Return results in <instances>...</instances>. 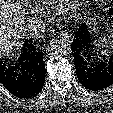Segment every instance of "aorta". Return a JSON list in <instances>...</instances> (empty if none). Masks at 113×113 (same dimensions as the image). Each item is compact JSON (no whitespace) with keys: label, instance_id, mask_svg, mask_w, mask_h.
<instances>
[{"label":"aorta","instance_id":"1","mask_svg":"<svg viewBox=\"0 0 113 113\" xmlns=\"http://www.w3.org/2000/svg\"><path fill=\"white\" fill-rule=\"evenodd\" d=\"M50 50L57 55H68L71 52L70 40L62 36L60 38L53 39L49 43Z\"/></svg>","mask_w":113,"mask_h":113}]
</instances>
